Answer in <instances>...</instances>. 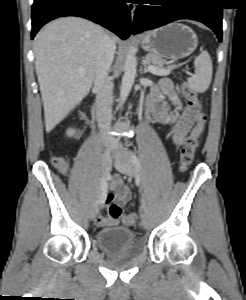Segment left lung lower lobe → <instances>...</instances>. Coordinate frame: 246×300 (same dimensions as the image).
Instances as JSON below:
<instances>
[{
	"label": "left lung lower lobe",
	"instance_id": "obj_1",
	"mask_svg": "<svg viewBox=\"0 0 246 300\" xmlns=\"http://www.w3.org/2000/svg\"><path fill=\"white\" fill-rule=\"evenodd\" d=\"M153 0H139L144 4ZM161 7L139 5L136 8L132 33L155 29L178 19L204 23L222 40V7L219 0H159Z\"/></svg>",
	"mask_w": 246,
	"mask_h": 300
}]
</instances>
